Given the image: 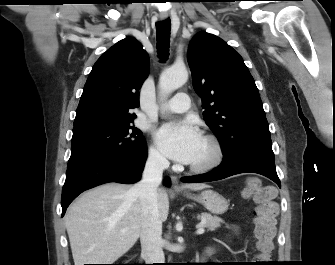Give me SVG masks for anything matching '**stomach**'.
Wrapping results in <instances>:
<instances>
[{
  "label": "stomach",
  "instance_id": "1",
  "mask_svg": "<svg viewBox=\"0 0 335 265\" xmlns=\"http://www.w3.org/2000/svg\"><path fill=\"white\" fill-rule=\"evenodd\" d=\"M186 196L201 203L213 214H223L228 210V201L216 191L204 190L198 195L186 194Z\"/></svg>",
  "mask_w": 335,
  "mask_h": 265
}]
</instances>
